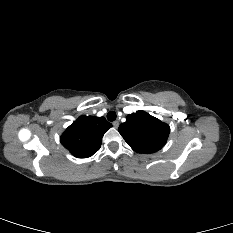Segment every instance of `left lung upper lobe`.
I'll return each instance as SVG.
<instances>
[{"label": "left lung upper lobe", "mask_w": 233, "mask_h": 233, "mask_svg": "<svg viewBox=\"0 0 233 233\" xmlns=\"http://www.w3.org/2000/svg\"><path fill=\"white\" fill-rule=\"evenodd\" d=\"M118 131L134 151L154 153L166 144L170 127L145 111H137L127 116Z\"/></svg>", "instance_id": "left-lung-upper-lobe-1"}]
</instances>
